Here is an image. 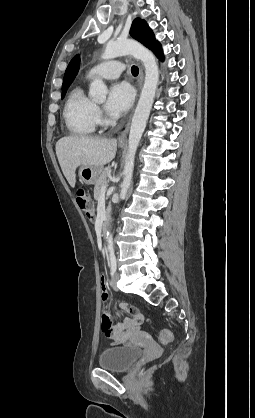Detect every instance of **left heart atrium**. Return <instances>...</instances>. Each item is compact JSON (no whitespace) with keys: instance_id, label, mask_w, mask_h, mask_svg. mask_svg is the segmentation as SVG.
<instances>
[{"instance_id":"obj_1","label":"left heart atrium","mask_w":255,"mask_h":418,"mask_svg":"<svg viewBox=\"0 0 255 418\" xmlns=\"http://www.w3.org/2000/svg\"><path fill=\"white\" fill-rule=\"evenodd\" d=\"M133 91L131 87L124 82L113 84L108 93L105 108L111 117L123 115L133 103Z\"/></svg>"}]
</instances>
